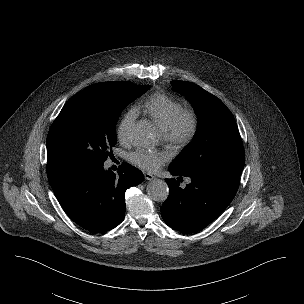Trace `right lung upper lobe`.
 Instances as JSON below:
<instances>
[{"instance_id": "obj_1", "label": "right lung upper lobe", "mask_w": 304, "mask_h": 304, "mask_svg": "<svg viewBox=\"0 0 304 304\" xmlns=\"http://www.w3.org/2000/svg\"><path fill=\"white\" fill-rule=\"evenodd\" d=\"M123 82H103V83H97L94 85H91L87 87L86 89L91 88H111L118 86L122 84ZM84 89V90H86ZM48 155V154H47ZM77 170L63 164L62 162L58 161L57 159L53 158L51 155H48V161H47V175L50 185H53L60 180L70 176Z\"/></svg>"}]
</instances>
